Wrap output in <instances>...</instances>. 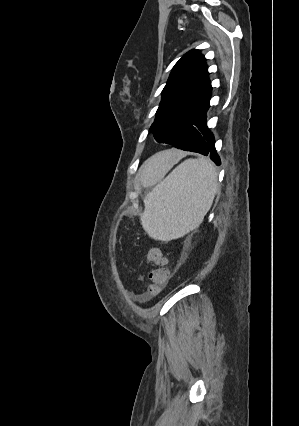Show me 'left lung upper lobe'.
Instances as JSON below:
<instances>
[{"label":"left lung upper lobe","instance_id":"obj_1","mask_svg":"<svg viewBox=\"0 0 299 426\" xmlns=\"http://www.w3.org/2000/svg\"><path fill=\"white\" fill-rule=\"evenodd\" d=\"M211 90L204 56L196 49L187 52L173 67L162 91L156 118L149 130L155 140L171 144L209 103Z\"/></svg>","mask_w":299,"mask_h":426}]
</instances>
